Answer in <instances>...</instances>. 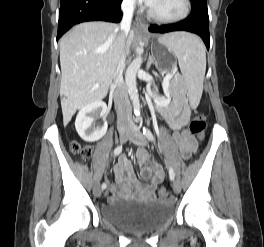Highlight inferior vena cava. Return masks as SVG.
<instances>
[{
	"label": "inferior vena cava",
	"instance_id": "1",
	"mask_svg": "<svg viewBox=\"0 0 264 247\" xmlns=\"http://www.w3.org/2000/svg\"><path fill=\"white\" fill-rule=\"evenodd\" d=\"M135 0H123L121 10L123 17L121 21V30L127 34L130 30ZM125 43L124 40L119 44V59L114 72V103L117 112V124L119 127L131 124V106L128 99L127 86L123 81L122 71L125 61Z\"/></svg>",
	"mask_w": 264,
	"mask_h": 247
}]
</instances>
